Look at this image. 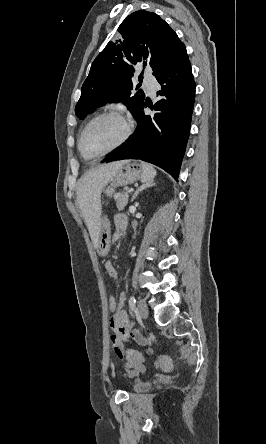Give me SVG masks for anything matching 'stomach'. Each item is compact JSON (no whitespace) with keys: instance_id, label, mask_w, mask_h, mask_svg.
<instances>
[{"instance_id":"1","label":"stomach","mask_w":266,"mask_h":444,"mask_svg":"<svg viewBox=\"0 0 266 444\" xmlns=\"http://www.w3.org/2000/svg\"><path fill=\"white\" fill-rule=\"evenodd\" d=\"M143 176H144V171L138 163L127 162L121 166V168L111 179L110 184L104 189V193L107 196H112L116 187L132 184L135 181L142 179ZM109 239H110V224L105 217H102L100 220L99 241H98V249L101 254H105V252H107V249L103 247V241H105V243L108 244Z\"/></svg>"}]
</instances>
